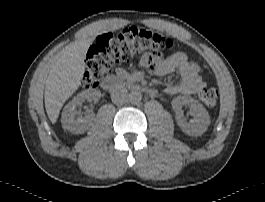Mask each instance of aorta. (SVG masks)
I'll list each match as a JSON object with an SVG mask.
<instances>
[{"label":"aorta","instance_id":"762f6f07","mask_svg":"<svg viewBox=\"0 0 265 202\" xmlns=\"http://www.w3.org/2000/svg\"><path fill=\"white\" fill-rule=\"evenodd\" d=\"M128 100L131 104H138L142 100V95L139 91H132L129 94Z\"/></svg>","mask_w":265,"mask_h":202}]
</instances>
